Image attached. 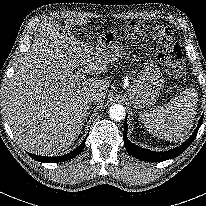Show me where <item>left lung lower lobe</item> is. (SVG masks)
Returning a JSON list of instances; mask_svg holds the SVG:
<instances>
[{
	"instance_id": "0a47b994",
	"label": "left lung lower lobe",
	"mask_w": 206,
	"mask_h": 206,
	"mask_svg": "<svg viewBox=\"0 0 206 206\" xmlns=\"http://www.w3.org/2000/svg\"><path fill=\"white\" fill-rule=\"evenodd\" d=\"M202 121H203V116L200 118L197 128L195 129L192 136L186 142H184L181 146L168 150V151H164V152H156V151H151L145 148H141L137 145H134L128 140L127 138L128 126H127V120L125 118V127H124V132H123L125 147L132 156L136 157L137 159L143 160V161L161 162V161L175 158L179 156L183 151H185L194 141L197 135V132L199 130V127L202 124Z\"/></svg>"
}]
</instances>
